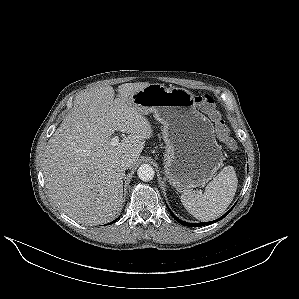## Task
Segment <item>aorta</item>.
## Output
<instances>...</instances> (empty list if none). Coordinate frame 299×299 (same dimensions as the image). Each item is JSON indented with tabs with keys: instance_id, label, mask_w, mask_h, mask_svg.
Listing matches in <instances>:
<instances>
[{
	"instance_id": "1",
	"label": "aorta",
	"mask_w": 299,
	"mask_h": 299,
	"mask_svg": "<svg viewBox=\"0 0 299 299\" xmlns=\"http://www.w3.org/2000/svg\"><path fill=\"white\" fill-rule=\"evenodd\" d=\"M154 173L153 167L149 164H142L137 170L138 177L145 182L152 180L155 175Z\"/></svg>"
}]
</instances>
